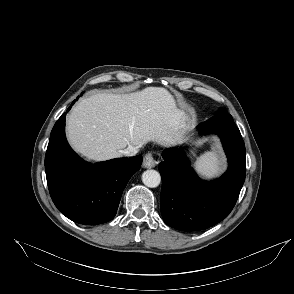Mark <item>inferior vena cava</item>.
<instances>
[{
    "instance_id": "602c4592",
    "label": "inferior vena cava",
    "mask_w": 294,
    "mask_h": 294,
    "mask_svg": "<svg viewBox=\"0 0 294 294\" xmlns=\"http://www.w3.org/2000/svg\"><path fill=\"white\" fill-rule=\"evenodd\" d=\"M120 152H121V154H123L125 156L132 157V156H135L138 151L135 147L128 146L126 149L121 150Z\"/></svg>"
}]
</instances>
